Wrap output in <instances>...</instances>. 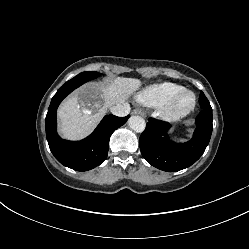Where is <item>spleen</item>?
Instances as JSON below:
<instances>
[{"mask_svg": "<svg viewBox=\"0 0 249 249\" xmlns=\"http://www.w3.org/2000/svg\"><path fill=\"white\" fill-rule=\"evenodd\" d=\"M174 139H177V140H178V139H181V138L174 137Z\"/></svg>", "mask_w": 249, "mask_h": 249, "instance_id": "spleen-1", "label": "spleen"}]
</instances>
